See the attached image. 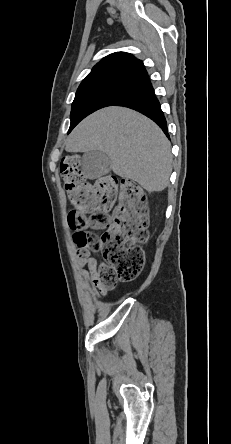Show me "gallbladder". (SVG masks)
I'll list each match as a JSON object with an SVG mask.
<instances>
[{"mask_svg":"<svg viewBox=\"0 0 231 444\" xmlns=\"http://www.w3.org/2000/svg\"><path fill=\"white\" fill-rule=\"evenodd\" d=\"M110 158L103 152L93 150L86 152L82 158V172L86 178L96 179L110 171Z\"/></svg>","mask_w":231,"mask_h":444,"instance_id":"obj_1","label":"gallbladder"}]
</instances>
